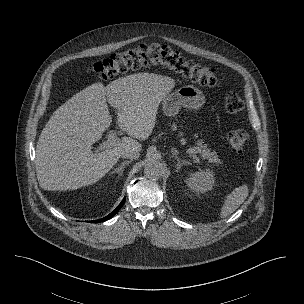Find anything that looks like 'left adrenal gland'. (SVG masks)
I'll list each match as a JSON object with an SVG mask.
<instances>
[{
    "instance_id": "1",
    "label": "left adrenal gland",
    "mask_w": 304,
    "mask_h": 304,
    "mask_svg": "<svg viewBox=\"0 0 304 304\" xmlns=\"http://www.w3.org/2000/svg\"><path fill=\"white\" fill-rule=\"evenodd\" d=\"M175 159L177 160V164H176V172L179 171V169L183 166V165H187V164H190L189 161H186V160H183L181 159L180 157L178 156H174Z\"/></svg>"
}]
</instances>
